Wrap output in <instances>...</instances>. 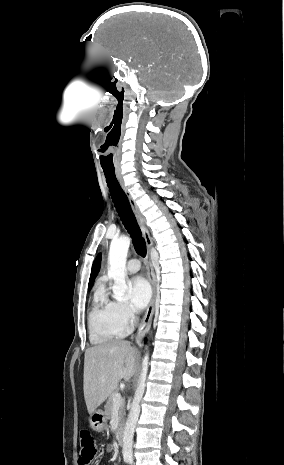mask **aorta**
Here are the masks:
<instances>
[{
  "label": "aorta",
  "instance_id": "obj_1",
  "mask_svg": "<svg viewBox=\"0 0 284 465\" xmlns=\"http://www.w3.org/2000/svg\"><path fill=\"white\" fill-rule=\"evenodd\" d=\"M130 246V238L121 236L113 239L110 245L108 262L109 270L108 276L113 279L114 284L112 287L113 297L118 301L125 300V293L127 285L125 282L126 277V260L127 253ZM149 355L144 356L142 362V371L139 377L138 385L134 394L131 404V409L127 417V421L123 433V457L125 459L132 458V444L136 423L140 413V401L143 397L145 390V382L148 373Z\"/></svg>",
  "mask_w": 284,
  "mask_h": 465
}]
</instances>
